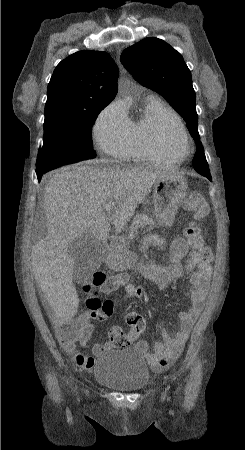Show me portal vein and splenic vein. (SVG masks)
Returning <instances> with one entry per match:
<instances>
[{"label": "portal vein and splenic vein", "mask_w": 245, "mask_h": 450, "mask_svg": "<svg viewBox=\"0 0 245 450\" xmlns=\"http://www.w3.org/2000/svg\"><path fill=\"white\" fill-rule=\"evenodd\" d=\"M104 209H105V211H106L107 213H110L111 210H112V206H111V205H106V206L104 207Z\"/></svg>", "instance_id": "portal-vein-and-splenic-vein-1"}]
</instances>
